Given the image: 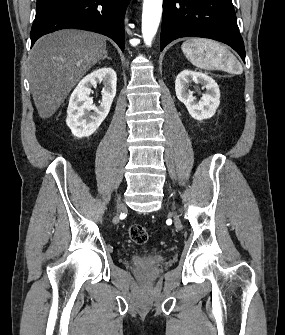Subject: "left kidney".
<instances>
[{"instance_id": "5707ae66", "label": "left kidney", "mask_w": 285, "mask_h": 335, "mask_svg": "<svg viewBox=\"0 0 285 335\" xmlns=\"http://www.w3.org/2000/svg\"><path fill=\"white\" fill-rule=\"evenodd\" d=\"M190 82L201 84L206 88V94H203L199 102H195L192 92L188 90ZM175 92L178 100L185 104L190 116L194 120H208L214 116L220 104V90L213 78L202 74V72H192V70H183L178 74L175 80Z\"/></svg>"}]
</instances>
